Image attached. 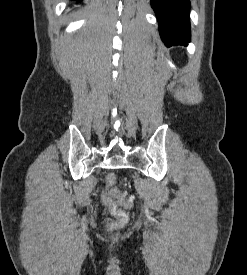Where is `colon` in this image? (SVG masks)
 I'll list each match as a JSON object with an SVG mask.
<instances>
[{
    "label": "colon",
    "mask_w": 247,
    "mask_h": 275,
    "mask_svg": "<svg viewBox=\"0 0 247 275\" xmlns=\"http://www.w3.org/2000/svg\"><path fill=\"white\" fill-rule=\"evenodd\" d=\"M107 185L102 189L101 197L103 203L109 208L115 220L109 224V229H118L127 224L128 213L117 205V202L126 208L131 207V198H126L125 194L114 188L116 178L113 174L106 176ZM117 201V202H116Z\"/></svg>",
    "instance_id": "1"
}]
</instances>
